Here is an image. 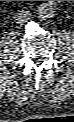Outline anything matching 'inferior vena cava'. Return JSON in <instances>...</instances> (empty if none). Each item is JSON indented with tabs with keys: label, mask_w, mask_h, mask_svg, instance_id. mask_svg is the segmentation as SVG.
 <instances>
[{
	"label": "inferior vena cava",
	"mask_w": 74,
	"mask_h": 122,
	"mask_svg": "<svg viewBox=\"0 0 74 122\" xmlns=\"http://www.w3.org/2000/svg\"><path fill=\"white\" fill-rule=\"evenodd\" d=\"M29 17V12L27 11H19L16 15V20L18 23H23L25 22Z\"/></svg>",
	"instance_id": "1"
}]
</instances>
